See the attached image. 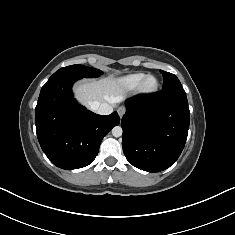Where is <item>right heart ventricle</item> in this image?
<instances>
[{"mask_svg": "<svg viewBox=\"0 0 235 235\" xmlns=\"http://www.w3.org/2000/svg\"><path fill=\"white\" fill-rule=\"evenodd\" d=\"M144 77H145V74L143 73H135V74H131V75L123 77L120 80V83L126 90H135L139 88Z\"/></svg>", "mask_w": 235, "mask_h": 235, "instance_id": "right-heart-ventricle-1", "label": "right heart ventricle"}]
</instances>
